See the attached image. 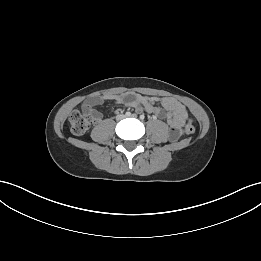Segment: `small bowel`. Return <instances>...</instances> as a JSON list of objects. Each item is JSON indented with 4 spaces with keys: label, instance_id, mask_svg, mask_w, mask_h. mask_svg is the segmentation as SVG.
<instances>
[{
    "label": "small bowel",
    "instance_id": "c3829d8e",
    "mask_svg": "<svg viewBox=\"0 0 261 261\" xmlns=\"http://www.w3.org/2000/svg\"><path fill=\"white\" fill-rule=\"evenodd\" d=\"M105 101H113L117 104H123L134 108L137 112L143 110L155 114L156 116H165L170 126V137L176 140L182 135V126L187 117L185 106L172 97L144 96L134 92H128L118 95H101L92 97L82 103V110L92 115L94 122H100L102 115L95 110V106Z\"/></svg>",
    "mask_w": 261,
    "mask_h": 261
}]
</instances>
